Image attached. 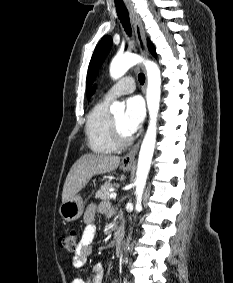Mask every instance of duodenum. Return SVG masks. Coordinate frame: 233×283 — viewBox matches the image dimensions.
Masks as SVG:
<instances>
[{
    "label": "duodenum",
    "mask_w": 233,
    "mask_h": 283,
    "mask_svg": "<svg viewBox=\"0 0 233 283\" xmlns=\"http://www.w3.org/2000/svg\"><path fill=\"white\" fill-rule=\"evenodd\" d=\"M122 239H123V232L121 229H118L114 234V248H115V254L117 256H119L121 253Z\"/></svg>",
    "instance_id": "obj_1"
}]
</instances>
